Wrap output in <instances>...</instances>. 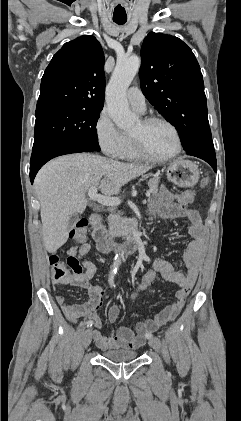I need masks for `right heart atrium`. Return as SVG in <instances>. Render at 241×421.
Here are the masks:
<instances>
[{"label":"right heart atrium","instance_id":"d8ad5b80","mask_svg":"<svg viewBox=\"0 0 241 421\" xmlns=\"http://www.w3.org/2000/svg\"><path fill=\"white\" fill-rule=\"evenodd\" d=\"M95 134L101 150L109 157L118 158L125 143L124 134L116 127L107 110H102L95 122Z\"/></svg>","mask_w":241,"mask_h":421}]
</instances>
